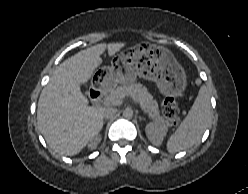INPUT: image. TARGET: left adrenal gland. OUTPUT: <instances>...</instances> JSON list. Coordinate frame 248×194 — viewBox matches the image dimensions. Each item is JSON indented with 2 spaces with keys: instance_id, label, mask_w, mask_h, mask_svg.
I'll use <instances>...</instances> for the list:
<instances>
[{
  "instance_id": "1",
  "label": "left adrenal gland",
  "mask_w": 248,
  "mask_h": 194,
  "mask_svg": "<svg viewBox=\"0 0 248 194\" xmlns=\"http://www.w3.org/2000/svg\"><path fill=\"white\" fill-rule=\"evenodd\" d=\"M139 120H145V118H143V117H139Z\"/></svg>"
}]
</instances>
